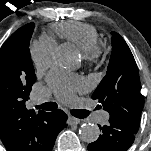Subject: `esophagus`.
<instances>
[{"label": "esophagus", "mask_w": 151, "mask_h": 151, "mask_svg": "<svg viewBox=\"0 0 151 151\" xmlns=\"http://www.w3.org/2000/svg\"><path fill=\"white\" fill-rule=\"evenodd\" d=\"M79 123H80V119L75 118L73 116L68 117V124L69 125H74V124H79Z\"/></svg>", "instance_id": "esophagus-1"}]
</instances>
